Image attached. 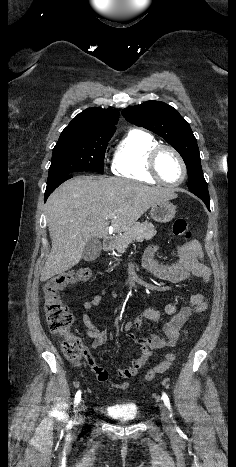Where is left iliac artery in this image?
I'll use <instances>...</instances> for the list:
<instances>
[{"label":"left iliac artery","mask_w":236,"mask_h":467,"mask_svg":"<svg viewBox=\"0 0 236 467\" xmlns=\"http://www.w3.org/2000/svg\"><path fill=\"white\" fill-rule=\"evenodd\" d=\"M162 399H163L164 404L166 405V407L171 411L170 400H169V397L167 396V394L165 392H163V394H162ZM170 416L172 417V413H171Z\"/></svg>","instance_id":"1"}]
</instances>
